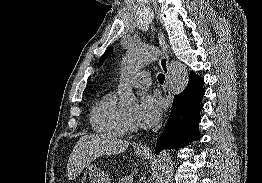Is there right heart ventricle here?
<instances>
[{
    "label": "right heart ventricle",
    "mask_w": 262,
    "mask_h": 183,
    "mask_svg": "<svg viewBox=\"0 0 262 183\" xmlns=\"http://www.w3.org/2000/svg\"><path fill=\"white\" fill-rule=\"evenodd\" d=\"M90 124L93 130L103 136L122 138L128 133L125 114L117 107L116 95L109 92L92 107Z\"/></svg>",
    "instance_id": "1"
}]
</instances>
